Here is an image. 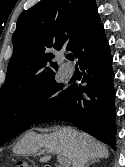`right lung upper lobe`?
Returning a JSON list of instances; mask_svg holds the SVG:
<instances>
[{
	"label": "right lung upper lobe",
	"instance_id": "cb5924a9",
	"mask_svg": "<svg viewBox=\"0 0 125 167\" xmlns=\"http://www.w3.org/2000/svg\"><path fill=\"white\" fill-rule=\"evenodd\" d=\"M95 0H41L18 18L13 54L1 100L16 97L54 77L55 50L76 58L103 30Z\"/></svg>",
	"mask_w": 125,
	"mask_h": 167
}]
</instances>
